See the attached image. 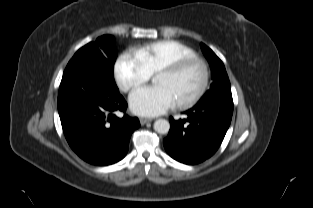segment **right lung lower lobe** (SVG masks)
<instances>
[{
    "label": "right lung lower lobe",
    "mask_w": 313,
    "mask_h": 208,
    "mask_svg": "<svg viewBox=\"0 0 313 208\" xmlns=\"http://www.w3.org/2000/svg\"><path fill=\"white\" fill-rule=\"evenodd\" d=\"M127 103L114 79L103 77L88 63L64 72L58 94V112L65 137L73 151L90 164L118 162L128 151L129 140L139 120L124 114Z\"/></svg>",
    "instance_id": "obj_1"
}]
</instances>
